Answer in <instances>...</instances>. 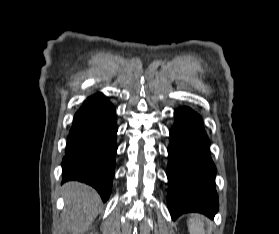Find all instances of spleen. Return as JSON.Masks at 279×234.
I'll return each instance as SVG.
<instances>
[{
    "label": "spleen",
    "instance_id": "spleen-1",
    "mask_svg": "<svg viewBox=\"0 0 279 234\" xmlns=\"http://www.w3.org/2000/svg\"><path fill=\"white\" fill-rule=\"evenodd\" d=\"M188 229L190 234H205L204 223L200 215H192L188 219Z\"/></svg>",
    "mask_w": 279,
    "mask_h": 234
}]
</instances>
